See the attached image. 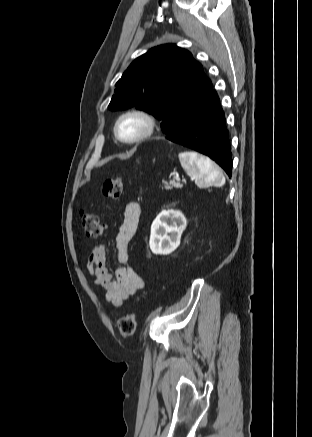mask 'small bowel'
Listing matches in <instances>:
<instances>
[{
	"mask_svg": "<svg viewBox=\"0 0 312 437\" xmlns=\"http://www.w3.org/2000/svg\"><path fill=\"white\" fill-rule=\"evenodd\" d=\"M141 214V205L137 201L126 204L123 220L115 236V247L118 261L124 266L119 267L114 273L106 266L107 253L105 246L100 244L93 248L88 256L86 268L95 284L105 291V299L115 307L123 303L138 290L144 287L142 277L130 266L129 243L135 235Z\"/></svg>",
	"mask_w": 312,
	"mask_h": 437,
	"instance_id": "small-bowel-1",
	"label": "small bowel"
}]
</instances>
